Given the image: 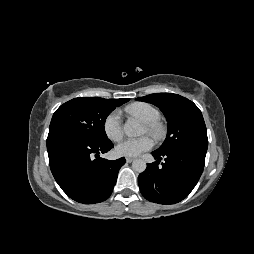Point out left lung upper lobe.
Instances as JSON below:
<instances>
[{
    "mask_svg": "<svg viewBox=\"0 0 254 254\" xmlns=\"http://www.w3.org/2000/svg\"><path fill=\"white\" fill-rule=\"evenodd\" d=\"M136 100L157 106L166 117L167 137L157 152L167 153L185 147L207 150L205 122L201 111L192 101L173 93H155Z\"/></svg>",
    "mask_w": 254,
    "mask_h": 254,
    "instance_id": "5c2ea615",
    "label": "left lung upper lobe"
}]
</instances>
